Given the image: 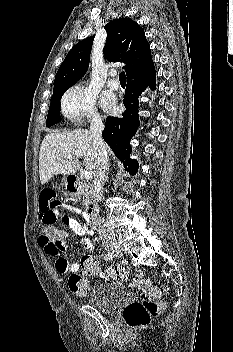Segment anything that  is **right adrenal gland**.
Masks as SVG:
<instances>
[{"label":"right adrenal gland","instance_id":"2a0ac1e0","mask_svg":"<svg viewBox=\"0 0 233 352\" xmlns=\"http://www.w3.org/2000/svg\"><path fill=\"white\" fill-rule=\"evenodd\" d=\"M109 170H110V166H108V168H107V172H106V175H105L104 183L108 181Z\"/></svg>","mask_w":233,"mask_h":352}]
</instances>
